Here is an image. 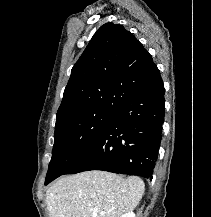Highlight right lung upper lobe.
<instances>
[{
  "label": "right lung upper lobe",
  "mask_w": 211,
  "mask_h": 217,
  "mask_svg": "<svg viewBox=\"0 0 211 217\" xmlns=\"http://www.w3.org/2000/svg\"><path fill=\"white\" fill-rule=\"evenodd\" d=\"M161 79L149 52L120 24L106 23L72 68L56 125L96 111H118Z\"/></svg>",
  "instance_id": "obj_1"
}]
</instances>
